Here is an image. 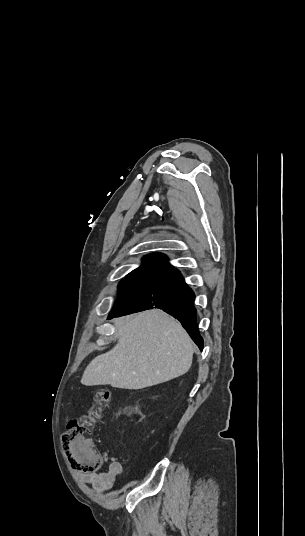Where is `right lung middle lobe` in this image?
I'll return each mask as SVG.
<instances>
[{
	"mask_svg": "<svg viewBox=\"0 0 305 536\" xmlns=\"http://www.w3.org/2000/svg\"><path fill=\"white\" fill-rule=\"evenodd\" d=\"M160 277H126L118 285V298L110 314L123 311L162 282Z\"/></svg>",
	"mask_w": 305,
	"mask_h": 536,
	"instance_id": "obj_1",
	"label": "right lung middle lobe"
}]
</instances>
